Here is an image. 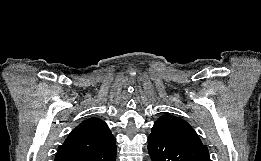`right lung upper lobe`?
Here are the masks:
<instances>
[{
    "instance_id": "right-lung-upper-lobe-1",
    "label": "right lung upper lobe",
    "mask_w": 261,
    "mask_h": 161,
    "mask_svg": "<svg viewBox=\"0 0 261 161\" xmlns=\"http://www.w3.org/2000/svg\"><path fill=\"white\" fill-rule=\"evenodd\" d=\"M114 142L115 138L107 124L98 118H90L79 124L69 134L64 144L59 146L55 161L88 152H97Z\"/></svg>"
}]
</instances>
